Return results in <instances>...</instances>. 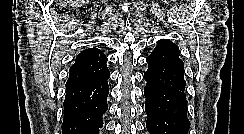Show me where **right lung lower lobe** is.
<instances>
[{
  "mask_svg": "<svg viewBox=\"0 0 244 134\" xmlns=\"http://www.w3.org/2000/svg\"><path fill=\"white\" fill-rule=\"evenodd\" d=\"M109 76L66 85L63 134H99L108 108Z\"/></svg>",
  "mask_w": 244,
  "mask_h": 134,
  "instance_id": "1",
  "label": "right lung lower lobe"
}]
</instances>
